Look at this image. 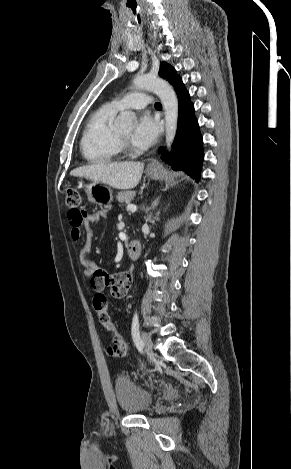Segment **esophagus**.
<instances>
[{"instance_id":"esophagus-1","label":"esophagus","mask_w":291,"mask_h":469,"mask_svg":"<svg viewBox=\"0 0 291 469\" xmlns=\"http://www.w3.org/2000/svg\"><path fill=\"white\" fill-rule=\"evenodd\" d=\"M157 166V163L156 162H151L148 164V168H154Z\"/></svg>"}]
</instances>
